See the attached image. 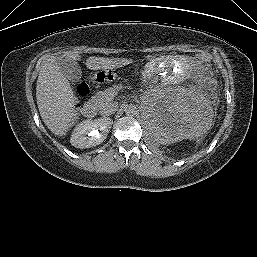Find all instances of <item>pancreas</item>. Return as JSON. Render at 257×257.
I'll use <instances>...</instances> for the list:
<instances>
[{
    "instance_id": "cf45deb5",
    "label": "pancreas",
    "mask_w": 257,
    "mask_h": 257,
    "mask_svg": "<svg viewBox=\"0 0 257 257\" xmlns=\"http://www.w3.org/2000/svg\"><path fill=\"white\" fill-rule=\"evenodd\" d=\"M119 89L118 86H113L107 88L103 91L97 92L94 96H92L90 102L97 108L101 109L107 103L113 100L114 95L116 94L117 90Z\"/></svg>"
}]
</instances>
